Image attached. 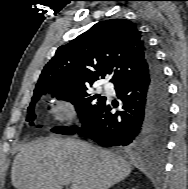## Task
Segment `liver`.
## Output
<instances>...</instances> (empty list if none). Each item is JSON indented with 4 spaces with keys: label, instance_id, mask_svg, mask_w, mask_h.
Wrapping results in <instances>:
<instances>
[{
    "label": "liver",
    "instance_id": "1",
    "mask_svg": "<svg viewBox=\"0 0 188 189\" xmlns=\"http://www.w3.org/2000/svg\"><path fill=\"white\" fill-rule=\"evenodd\" d=\"M132 167L113 152L76 139L49 137L20 148L13 161L12 185L16 189H108L124 180Z\"/></svg>",
    "mask_w": 188,
    "mask_h": 189
}]
</instances>
